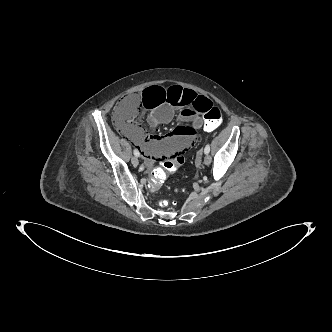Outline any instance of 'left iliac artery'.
Masks as SVG:
<instances>
[{
    "label": "left iliac artery",
    "instance_id": "1",
    "mask_svg": "<svg viewBox=\"0 0 332 332\" xmlns=\"http://www.w3.org/2000/svg\"><path fill=\"white\" fill-rule=\"evenodd\" d=\"M209 152H210V145L207 144V145L205 146V148H204V153H205V154H208Z\"/></svg>",
    "mask_w": 332,
    "mask_h": 332
}]
</instances>
